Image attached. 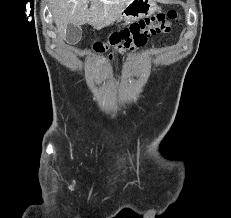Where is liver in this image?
I'll return each mask as SVG.
<instances>
[{
    "label": "liver",
    "mask_w": 231,
    "mask_h": 218,
    "mask_svg": "<svg viewBox=\"0 0 231 218\" xmlns=\"http://www.w3.org/2000/svg\"><path fill=\"white\" fill-rule=\"evenodd\" d=\"M91 2L88 9V3ZM127 0H51L53 14L60 40L66 38L68 24H90L101 29L113 23Z\"/></svg>",
    "instance_id": "1"
}]
</instances>
